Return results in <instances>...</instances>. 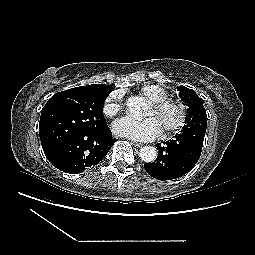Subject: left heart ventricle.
Listing matches in <instances>:
<instances>
[{"label": "left heart ventricle", "mask_w": 255, "mask_h": 255, "mask_svg": "<svg viewBox=\"0 0 255 255\" xmlns=\"http://www.w3.org/2000/svg\"><path fill=\"white\" fill-rule=\"evenodd\" d=\"M145 117L157 118V120L159 121V123L163 129V127L166 123H171V122L175 121L177 114L174 111L169 110L163 116H159L155 113L153 106L150 105L148 110L145 113Z\"/></svg>", "instance_id": "obj_1"}]
</instances>
